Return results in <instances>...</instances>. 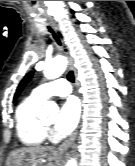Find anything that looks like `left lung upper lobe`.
Returning <instances> with one entry per match:
<instances>
[{
	"label": "left lung upper lobe",
	"instance_id": "5c2ea615",
	"mask_svg": "<svg viewBox=\"0 0 135 166\" xmlns=\"http://www.w3.org/2000/svg\"><path fill=\"white\" fill-rule=\"evenodd\" d=\"M32 76H33V72H29L28 74L25 75V77L22 79V81L20 82V84L16 90V93L14 95V99H16L19 96V94L21 93V91L23 90L25 85L30 81Z\"/></svg>",
	"mask_w": 135,
	"mask_h": 166
}]
</instances>
